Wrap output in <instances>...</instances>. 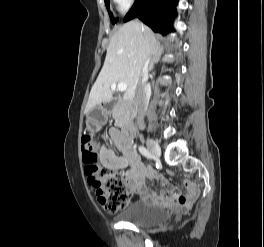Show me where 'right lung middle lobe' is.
Masks as SVG:
<instances>
[{
	"instance_id": "right-lung-middle-lobe-1",
	"label": "right lung middle lobe",
	"mask_w": 264,
	"mask_h": 247,
	"mask_svg": "<svg viewBox=\"0 0 264 247\" xmlns=\"http://www.w3.org/2000/svg\"><path fill=\"white\" fill-rule=\"evenodd\" d=\"M104 1H105V4H106L107 9L109 11V1L108 0H104ZM115 22H116V20L115 19H112V23L114 24Z\"/></svg>"
}]
</instances>
